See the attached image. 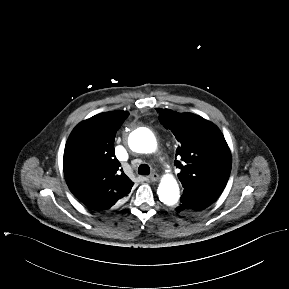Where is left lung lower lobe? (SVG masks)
<instances>
[{
    "label": "left lung lower lobe",
    "mask_w": 289,
    "mask_h": 289,
    "mask_svg": "<svg viewBox=\"0 0 289 289\" xmlns=\"http://www.w3.org/2000/svg\"><path fill=\"white\" fill-rule=\"evenodd\" d=\"M214 201L198 195L183 194L181 203L176 207V211L182 214L193 215L207 208Z\"/></svg>",
    "instance_id": "0a47b994"
}]
</instances>
